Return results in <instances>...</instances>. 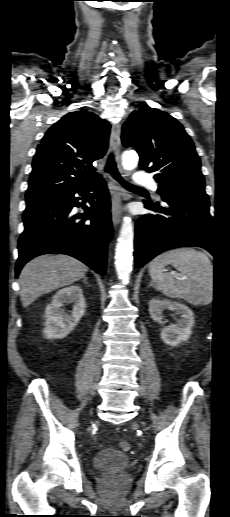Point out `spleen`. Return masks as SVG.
I'll list each match as a JSON object with an SVG mask.
<instances>
[{
    "instance_id": "obj_1",
    "label": "spleen",
    "mask_w": 230,
    "mask_h": 517,
    "mask_svg": "<svg viewBox=\"0 0 230 517\" xmlns=\"http://www.w3.org/2000/svg\"><path fill=\"white\" fill-rule=\"evenodd\" d=\"M168 264L174 266L186 277L176 280L171 273H165ZM153 285L170 298H181L193 305H206L213 300V265L210 259L192 248H178L167 251L149 265Z\"/></svg>"
}]
</instances>
